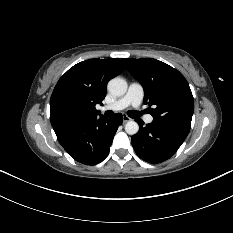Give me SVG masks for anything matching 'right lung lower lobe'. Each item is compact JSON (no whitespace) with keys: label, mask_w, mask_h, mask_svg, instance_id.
I'll use <instances>...</instances> for the list:
<instances>
[{"label":"right lung lower lobe","mask_w":233,"mask_h":233,"mask_svg":"<svg viewBox=\"0 0 233 233\" xmlns=\"http://www.w3.org/2000/svg\"><path fill=\"white\" fill-rule=\"evenodd\" d=\"M123 118L117 113L107 119L101 115L67 121L53 127L59 143L76 161L95 165L104 160L113 141V137L122 124Z\"/></svg>","instance_id":"1"}]
</instances>
